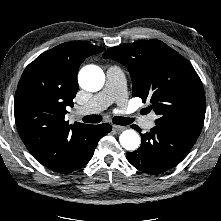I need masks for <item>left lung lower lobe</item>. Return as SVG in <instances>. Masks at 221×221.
Wrapping results in <instances>:
<instances>
[{"instance_id":"1","label":"left lung lower lobe","mask_w":221,"mask_h":221,"mask_svg":"<svg viewBox=\"0 0 221 221\" xmlns=\"http://www.w3.org/2000/svg\"><path fill=\"white\" fill-rule=\"evenodd\" d=\"M133 128L140 130L137 125ZM139 149L126 154L127 160L138 170L160 174L178 165L189 153L197 138L168 128L155 126L141 134Z\"/></svg>"}]
</instances>
